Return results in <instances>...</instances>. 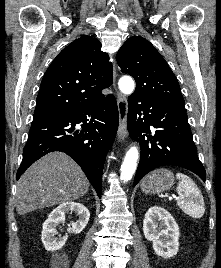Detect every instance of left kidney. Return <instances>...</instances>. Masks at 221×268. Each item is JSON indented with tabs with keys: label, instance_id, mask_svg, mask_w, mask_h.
<instances>
[{
	"label": "left kidney",
	"instance_id": "obj_1",
	"mask_svg": "<svg viewBox=\"0 0 221 268\" xmlns=\"http://www.w3.org/2000/svg\"><path fill=\"white\" fill-rule=\"evenodd\" d=\"M143 233L148 241H152L158 256L170 258L177 254L179 227L164 208L153 206L148 209L143 220Z\"/></svg>",
	"mask_w": 221,
	"mask_h": 268
}]
</instances>
